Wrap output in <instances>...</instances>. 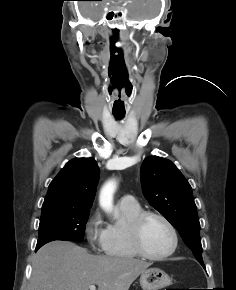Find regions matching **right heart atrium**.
Returning a JSON list of instances; mask_svg holds the SVG:
<instances>
[{
	"mask_svg": "<svg viewBox=\"0 0 236 290\" xmlns=\"http://www.w3.org/2000/svg\"><path fill=\"white\" fill-rule=\"evenodd\" d=\"M85 236L93 249L102 247L105 229L102 224V217L99 211H95L86 221L84 228Z\"/></svg>",
	"mask_w": 236,
	"mask_h": 290,
	"instance_id": "obj_1",
	"label": "right heart atrium"
}]
</instances>
